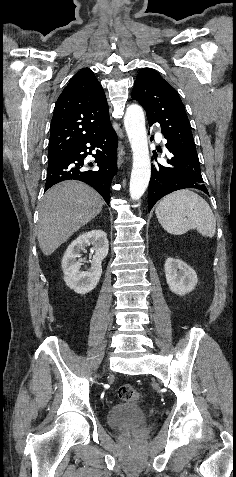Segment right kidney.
Wrapping results in <instances>:
<instances>
[{
  "mask_svg": "<svg viewBox=\"0 0 236 477\" xmlns=\"http://www.w3.org/2000/svg\"><path fill=\"white\" fill-rule=\"evenodd\" d=\"M90 244L93 245L91 267L82 271V261H77V258L81 257V252ZM108 250L107 234L104 231L93 230L80 235L68 246L62 259L66 285L78 294H86L92 291L100 280L102 260L107 256Z\"/></svg>",
  "mask_w": 236,
  "mask_h": 477,
  "instance_id": "1",
  "label": "right kidney"
}]
</instances>
